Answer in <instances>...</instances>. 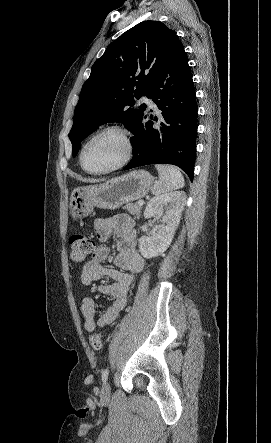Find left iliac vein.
Here are the masks:
<instances>
[{
	"mask_svg": "<svg viewBox=\"0 0 271 443\" xmlns=\"http://www.w3.org/2000/svg\"><path fill=\"white\" fill-rule=\"evenodd\" d=\"M111 395V387L110 384L108 382H105L102 386V390H101V399L102 400H108L110 398Z\"/></svg>",
	"mask_w": 271,
	"mask_h": 443,
	"instance_id": "4c4485c4",
	"label": "left iliac vein"
}]
</instances>
